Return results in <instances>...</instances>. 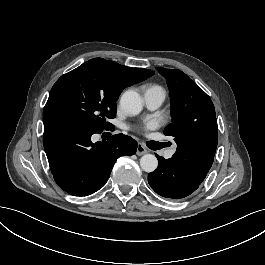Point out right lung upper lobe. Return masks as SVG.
I'll return each mask as SVG.
<instances>
[{"instance_id": "right-lung-upper-lobe-1", "label": "right lung upper lobe", "mask_w": 265, "mask_h": 265, "mask_svg": "<svg viewBox=\"0 0 265 265\" xmlns=\"http://www.w3.org/2000/svg\"><path fill=\"white\" fill-rule=\"evenodd\" d=\"M105 61L111 72L121 79L126 87L141 82L154 74L152 70L130 68L110 60Z\"/></svg>"}]
</instances>
